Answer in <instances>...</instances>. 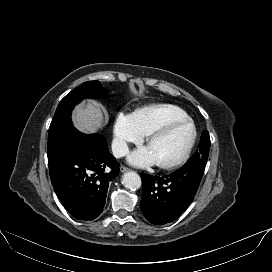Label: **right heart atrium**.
<instances>
[{"label": "right heart atrium", "instance_id": "obj_1", "mask_svg": "<svg viewBox=\"0 0 272 272\" xmlns=\"http://www.w3.org/2000/svg\"><path fill=\"white\" fill-rule=\"evenodd\" d=\"M143 135L137 129L133 115L125 112H118L113 127V153L117 157L125 155L130 144L141 142Z\"/></svg>", "mask_w": 272, "mask_h": 272}]
</instances>
